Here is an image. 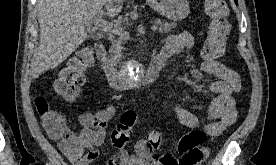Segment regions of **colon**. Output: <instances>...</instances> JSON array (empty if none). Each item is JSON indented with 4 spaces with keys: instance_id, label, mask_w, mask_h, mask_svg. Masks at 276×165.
Wrapping results in <instances>:
<instances>
[{
    "instance_id": "obj_1",
    "label": "colon",
    "mask_w": 276,
    "mask_h": 165,
    "mask_svg": "<svg viewBox=\"0 0 276 165\" xmlns=\"http://www.w3.org/2000/svg\"><path fill=\"white\" fill-rule=\"evenodd\" d=\"M204 9L210 18V23L202 49V56L206 60H216L224 53L230 33L229 7L225 0H204ZM93 64L94 54L92 49L90 47L79 49L60 72L54 84L55 93L66 101L75 100L80 87L85 82V72ZM34 103L45 129L51 136L60 139L62 149L68 152L77 151L78 142L66 129L64 117L52 109L43 96L36 97ZM135 120V111L129 110L123 113L119 125L112 131L110 136L113 146L123 148L129 144ZM206 138V133L203 130H192L180 138L175 144V149L183 156L196 157L199 155L200 149L203 148ZM163 145L162 135L153 131L137 144V150L153 154Z\"/></svg>"
}]
</instances>
